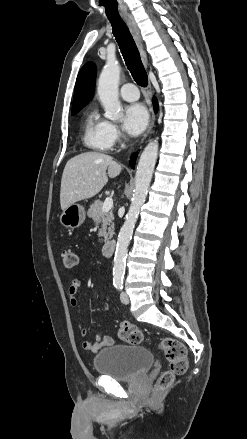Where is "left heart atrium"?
<instances>
[{
    "mask_svg": "<svg viewBox=\"0 0 247 439\" xmlns=\"http://www.w3.org/2000/svg\"><path fill=\"white\" fill-rule=\"evenodd\" d=\"M148 121V112L142 104H131L124 109L123 127L130 135L140 134Z\"/></svg>",
    "mask_w": 247,
    "mask_h": 439,
    "instance_id": "39dd6f15",
    "label": "left heart atrium"
}]
</instances>
